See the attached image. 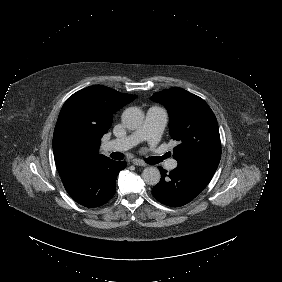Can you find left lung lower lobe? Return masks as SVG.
Listing matches in <instances>:
<instances>
[{
  "instance_id": "0a47b994",
  "label": "left lung lower lobe",
  "mask_w": 282,
  "mask_h": 282,
  "mask_svg": "<svg viewBox=\"0 0 282 282\" xmlns=\"http://www.w3.org/2000/svg\"><path fill=\"white\" fill-rule=\"evenodd\" d=\"M219 161L199 157L178 162L177 168L167 174L161 172L160 182L152 190L153 196L162 204L180 207L192 201L210 182Z\"/></svg>"
}]
</instances>
